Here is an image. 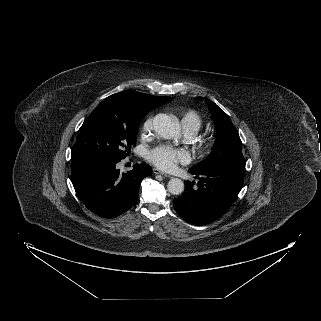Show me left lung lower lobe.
I'll return each mask as SVG.
<instances>
[{
    "label": "left lung lower lobe",
    "instance_id": "0a47b994",
    "mask_svg": "<svg viewBox=\"0 0 321 321\" xmlns=\"http://www.w3.org/2000/svg\"><path fill=\"white\" fill-rule=\"evenodd\" d=\"M190 173L199 179L186 181L183 194L174 200L176 212L193 225H205L224 215L243 186L245 162H229Z\"/></svg>",
    "mask_w": 321,
    "mask_h": 321
}]
</instances>
